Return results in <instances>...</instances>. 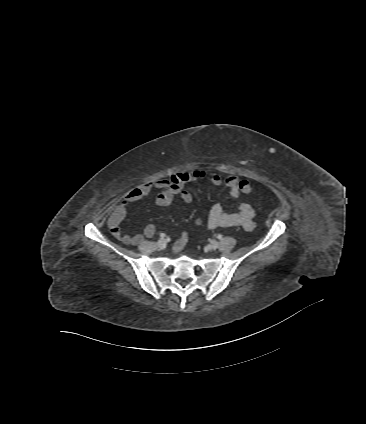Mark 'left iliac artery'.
Wrapping results in <instances>:
<instances>
[{
  "label": "left iliac artery",
  "mask_w": 366,
  "mask_h": 424,
  "mask_svg": "<svg viewBox=\"0 0 366 424\" xmlns=\"http://www.w3.org/2000/svg\"><path fill=\"white\" fill-rule=\"evenodd\" d=\"M217 238H218V239H222V235H221V234H219V235L217 236Z\"/></svg>",
  "instance_id": "left-iliac-artery-1"
}]
</instances>
